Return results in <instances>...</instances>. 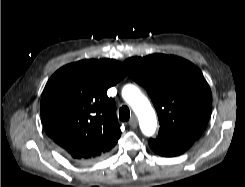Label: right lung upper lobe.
Instances as JSON below:
<instances>
[{"mask_svg":"<svg viewBox=\"0 0 245 187\" xmlns=\"http://www.w3.org/2000/svg\"><path fill=\"white\" fill-rule=\"evenodd\" d=\"M127 75L113 59L81 60L57 70L46 84L40 113L47 135L71 159L98 161L121 135L107 90Z\"/></svg>","mask_w":245,"mask_h":187,"instance_id":"cb5924a9","label":"right lung upper lobe"}]
</instances>
